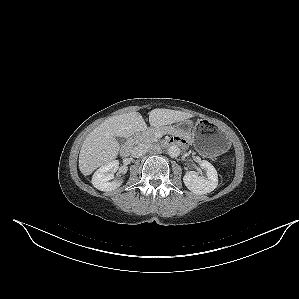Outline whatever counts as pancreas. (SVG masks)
Segmentation results:
<instances>
[{"label":"pancreas","mask_w":299,"mask_h":299,"mask_svg":"<svg viewBox=\"0 0 299 299\" xmlns=\"http://www.w3.org/2000/svg\"><path fill=\"white\" fill-rule=\"evenodd\" d=\"M170 131L169 127H155V128H149L146 131H143L142 133H139L136 135V142L137 143H144L149 144L153 142L158 141V133L160 132H167Z\"/></svg>","instance_id":"1"}]
</instances>
